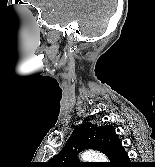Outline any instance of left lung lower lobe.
Returning <instances> with one entry per match:
<instances>
[{
	"instance_id": "0a47b994",
	"label": "left lung lower lobe",
	"mask_w": 155,
	"mask_h": 167,
	"mask_svg": "<svg viewBox=\"0 0 155 167\" xmlns=\"http://www.w3.org/2000/svg\"><path fill=\"white\" fill-rule=\"evenodd\" d=\"M110 161L111 162H109L108 167H124L125 164L130 163L129 157L121 143L116 147V149L112 153Z\"/></svg>"
}]
</instances>
